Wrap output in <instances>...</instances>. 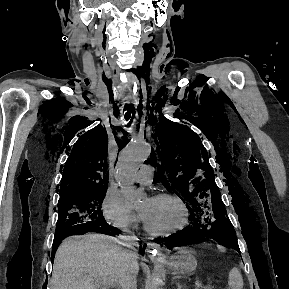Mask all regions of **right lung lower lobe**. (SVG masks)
<instances>
[{"mask_svg":"<svg viewBox=\"0 0 289 289\" xmlns=\"http://www.w3.org/2000/svg\"><path fill=\"white\" fill-rule=\"evenodd\" d=\"M87 232H99L102 234L114 236L115 234H118L119 231L110 225H108L105 221L102 223H96L92 225L83 226L77 230L71 231L68 236L75 235V234H84ZM65 238V236H55L54 242H53V249H52V261L54 259L55 252L59 246V243ZM146 245L143 248V251L145 250ZM142 249V248H141Z\"/></svg>","mask_w":289,"mask_h":289,"instance_id":"98d812e1","label":"right lung lower lobe"}]
</instances>
